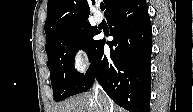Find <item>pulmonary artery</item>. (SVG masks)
Segmentation results:
<instances>
[{"instance_id":"e3ab8cb5","label":"pulmonary artery","mask_w":193,"mask_h":112,"mask_svg":"<svg viewBox=\"0 0 193 112\" xmlns=\"http://www.w3.org/2000/svg\"><path fill=\"white\" fill-rule=\"evenodd\" d=\"M94 19H95L96 23H98V24L103 22V16L99 12H97L95 14Z\"/></svg>"}]
</instances>
